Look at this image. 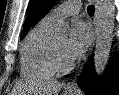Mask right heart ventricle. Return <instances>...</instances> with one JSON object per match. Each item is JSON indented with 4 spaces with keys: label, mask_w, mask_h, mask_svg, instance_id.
Wrapping results in <instances>:
<instances>
[{
    "label": "right heart ventricle",
    "mask_w": 119,
    "mask_h": 95,
    "mask_svg": "<svg viewBox=\"0 0 119 95\" xmlns=\"http://www.w3.org/2000/svg\"><path fill=\"white\" fill-rule=\"evenodd\" d=\"M55 21L42 18L30 31L21 52V74L26 78L47 79L56 69L52 63L53 38L50 34Z\"/></svg>",
    "instance_id": "right-heart-ventricle-1"
}]
</instances>
